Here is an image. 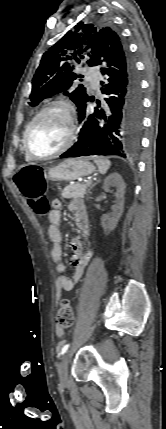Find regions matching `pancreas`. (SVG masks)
I'll return each instance as SVG.
<instances>
[{"label": "pancreas", "instance_id": "obj_1", "mask_svg": "<svg viewBox=\"0 0 166 429\" xmlns=\"http://www.w3.org/2000/svg\"><path fill=\"white\" fill-rule=\"evenodd\" d=\"M93 185L92 183H86V184H70L66 186L62 191V196L66 199L80 197L83 198L86 193L88 192V188H91Z\"/></svg>", "mask_w": 166, "mask_h": 429}]
</instances>
